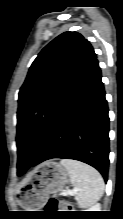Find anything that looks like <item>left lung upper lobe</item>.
<instances>
[{
  "label": "left lung upper lobe",
  "mask_w": 123,
  "mask_h": 219,
  "mask_svg": "<svg viewBox=\"0 0 123 219\" xmlns=\"http://www.w3.org/2000/svg\"><path fill=\"white\" fill-rule=\"evenodd\" d=\"M95 60L87 39L77 32H64L32 63L18 98V176L30 166L59 107Z\"/></svg>",
  "instance_id": "1"
}]
</instances>
